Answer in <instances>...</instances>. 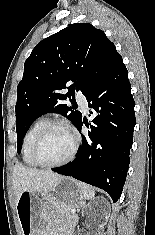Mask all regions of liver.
Here are the masks:
<instances>
[{
    "label": "liver",
    "mask_w": 155,
    "mask_h": 235,
    "mask_svg": "<svg viewBox=\"0 0 155 235\" xmlns=\"http://www.w3.org/2000/svg\"><path fill=\"white\" fill-rule=\"evenodd\" d=\"M60 179H62V176L52 171L38 170L16 164L13 169V189L16 203L22 192H47Z\"/></svg>",
    "instance_id": "1"
}]
</instances>
